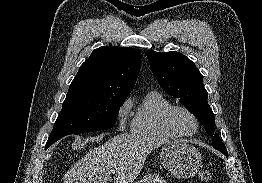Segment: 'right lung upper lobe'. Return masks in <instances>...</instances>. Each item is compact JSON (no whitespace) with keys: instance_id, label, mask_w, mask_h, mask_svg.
<instances>
[{"instance_id":"1","label":"right lung upper lobe","mask_w":262,"mask_h":183,"mask_svg":"<svg viewBox=\"0 0 262 183\" xmlns=\"http://www.w3.org/2000/svg\"><path fill=\"white\" fill-rule=\"evenodd\" d=\"M141 67V53L130 47L95 49L80 66L68 94L127 98Z\"/></svg>"}]
</instances>
